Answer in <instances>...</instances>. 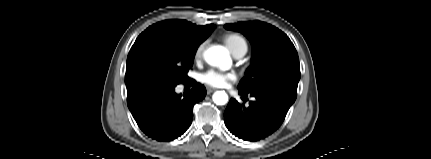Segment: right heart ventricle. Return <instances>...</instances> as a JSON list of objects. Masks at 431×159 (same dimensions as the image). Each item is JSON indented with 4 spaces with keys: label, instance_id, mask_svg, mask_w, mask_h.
<instances>
[{
    "label": "right heart ventricle",
    "instance_id": "obj_1",
    "mask_svg": "<svg viewBox=\"0 0 431 159\" xmlns=\"http://www.w3.org/2000/svg\"><path fill=\"white\" fill-rule=\"evenodd\" d=\"M224 41L233 54L240 50H247L246 40L238 34H227Z\"/></svg>",
    "mask_w": 431,
    "mask_h": 159
}]
</instances>
